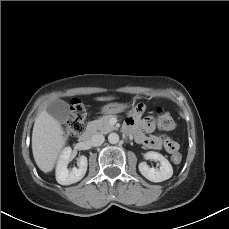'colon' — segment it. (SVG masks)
<instances>
[{
	"mask_svg": "<svg viewBox=\"0 0 229 229\" xmlns=\"http://www.w3.org/2000/svg\"><path fill=\"white\" fill-rule=\"evenodd\" d=\"M86 110L83 103L74 99L71 103L70 116L65 125V133L67 135L78 136L84 133L86 129ZM161 125L164 128L174 127V121L171 117L164 116L161 118ZM165 149L172 154V160L175 163H180L182 156L178 153V144L171 140H164Z\"/></svg>",
	"mask_w": 229,
	"mask_h": 229,
	"instance_id": "colon-1",
	"label": "colon"
}]
</instances>
